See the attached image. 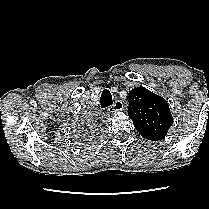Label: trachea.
Masks as SVG:
<instances>
[{
    "label": "trachea",
    "mask_w": 209,
    "mask_h": 209,
    "mask_svg": "<svg viewBox=\"0 0 209 209\" xmlns=\"http://www.w3.org/2000/svg\"><path fill=\"white\" fill-rule=\"evenodd\" d=\"M101 108H107L113 105L112 95L109 90L104 89L101 94Z\"/></svg>",
    "instance_id": "obj_1"
}]
</instances>
